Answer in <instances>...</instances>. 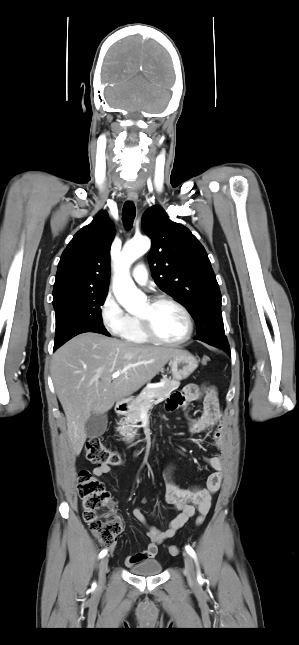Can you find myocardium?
Masks as SVG:
<instances>
[{"instance_id":"myocardium-1","label":"myocardium","mask_w":299,"mask_h":645,"mask_svg":"<svg viewBox=\"0 0 299 645\" xmlns=\"http://www.w3.org/2000/svg\"><path fill=\"white\" fill-rule=\"evenodd\" d=\"M148 303L151 308L162 303H168L175 306L184 315L187 323V330L184 336L176 340H167L159 337L155 333L148 313L143 315H138L137 318L139 320L142 332L149 339V341L157 344H162V345L177 346L187 342L192 337L194 332V321L189 310L181 302H179L178 300L170 296L158 295L149 299Z\"/></svg>"}]
</instances>
